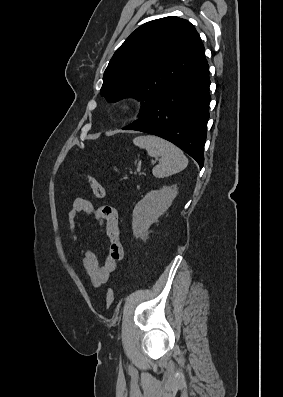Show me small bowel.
Listing matches in <instances>:
<instances>
[{
  "label": "small bowel",
  "instance_id": "c3829d8e",
  "mask_svg": "<svg viewBox=\"0 0 283 397\" xmlns=\"http://www.w3.org/2000/svg\"><path fill=\"white\" fill-rule=\"evenodd\" d=\"M82 215H92L104 227L109 239L108 253L103 264L99 263L92 250H82V263L87 275L94 286L100 287L109 281L111 273L116 270L118 263L124 257L118 226V212L112 206L94 207L87 199H75L68 214L69 229L73 242H77L75 230L77 220Z\"/></svg>",
  "mask_w": 283,
  "mask_h": 397
}]
</instances>
